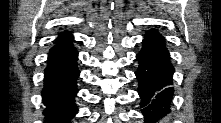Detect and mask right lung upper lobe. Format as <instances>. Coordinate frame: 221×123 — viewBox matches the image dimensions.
Instances as JSON below:
<instances>
[{
	"label": "right lung upper lobe",
	"instance_id": "1",
	"mask_svg": "<svg viewBox=\"0 0 221 123\" xmlns=\"http://www.w3.org/2000/svg\"><path fill=\"white\" fill-rule=\"evenodd\" d=\"M68 34H70L69 32H64V33H60L59 35H64V36H66V35H68Z\"/></svg>",
	"mask_w": 221,
	"mask_h": 123
}]
</instances>
